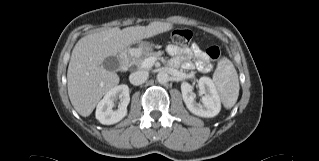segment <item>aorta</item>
Returning <instances> with one entry per match:
<instances>
[{"mask_svg": "<svg viewBox=\"0 0 319 161\" xmlns=\"http://www.w3.org/2000/svg\"><path fill=\"white\" fill-rule=\"evenodd\" d=\"M157 81L160 83V84H165L169 81V75L166 73V72H159L157 74Z\"/></svg>", "mask_w": 319, "mask_h": 161, "instance_id": "aorta-1", "label": "aorta"}]
</instances>
